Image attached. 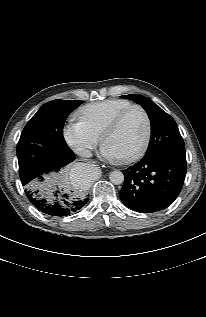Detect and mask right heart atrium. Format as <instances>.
I'll list each match as a JSON object with an SVG mask.
<instances>
[{
	"instance_id": "right-heart-atrium-1",
	"label": "right heart atrium",
	"mask_w": 206,
	"mask_h": 317,
	"mask_svg": "<svg viewBox=\"0 0 206 317\" xmlns=\"http://www.w3.org/2000/svg\"><path fill=\"white\" fill-rule=\"evenodd\" d=\"M66 143L79 155H88L98 144L99 137L80 119H71L63 129Z\"/></svg>"
}]
</instances>
